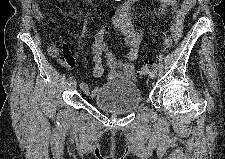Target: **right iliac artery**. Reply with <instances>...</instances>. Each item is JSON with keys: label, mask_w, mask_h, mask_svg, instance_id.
Returning a JSON list of instances; mask_svg holds the SVG:
<instances>
[{"label": "right iliac artery", "mask_w": 225, "mask_h": 159, "mask_svg": "<svg viewBox=\"0 0 225 159\" xmlns=\"http://www.w3.org/2000/svg\"><path fill=\"white\" fill-rule=\"evenodd\" d=\"M72 80H73V77L72 76H69L68 79H67V84L70 85L71 82H72Z\"/></svg>", "instance_id": "right-iliac-artery-1"}]
</instances>
